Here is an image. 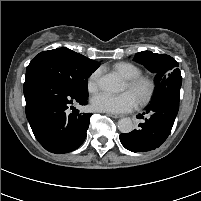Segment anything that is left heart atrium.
<instances>
[{
  "mask_svg": "<svg viewBox=\"0 0 201 201\" xmlns=\"http://www.w3.org/2000/svg\"><path fill=\"white\" fill-rule=\"evenodd\" d=\"M91 105L99 112L120 114L134 109L137 105V98L130 91L121 94L103 92L92 98Z\"/></svg>",
  "mask_w": 201,
  "mask_h": 201,
  "instance_id": "left-heart-atrium-1",
  "label": "left heart atrium"
}]
</instances>
